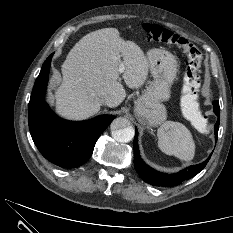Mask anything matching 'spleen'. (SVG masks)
I'll use <instances>...</instances> for the list:
<instances>
[{
	"instance_id": "3e777b00",
	"label": "spleen",
	"mask_w": 233,
	"mask_h": 233,
	"mask_svg": "<svg viewBox=\"0 0 233 233\" xmlns=\"http://www.w3.org/2000/svg\"><path fill=\"white\" fill-rule=\"evenodd\" d=\"M197 103L192 104L191 120L197 123L200 116ZM158 147L167 155L191 161L195 154V143L190 130L181 123L167 121L158 130Z\"/></svg>"
}]
</instances>
